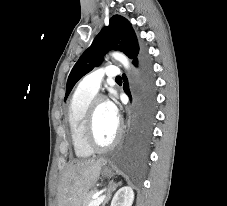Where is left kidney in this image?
Here are the masks:
<instances>
[{
  "mask_svg": "<svg viewBox=\"0 0 227 206\" xmlns=\"http://www.w3.org/2000/svg\"><path fill=\"white\" fill-rule=\"evenodd\" d=\"M133 201V189L130 186H124L115 193L110 206H132Z\"/></svg>",
  "mask_w": 227,
  "mask_h": 206,
  "instance_id": "5707ae66",
  "label": "left kidney"
}]
</instances>
